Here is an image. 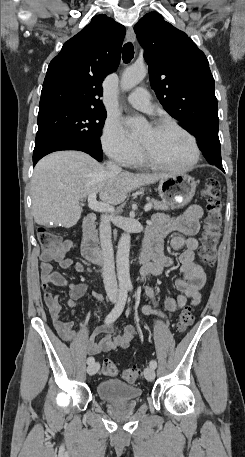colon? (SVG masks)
I'll return each instance as SVG.
<instances>
[{"instance_id": "obj_1", "label": "colon", "mask_w": 245, "mask_h": 457, "mask_svg": "<svg viewBox=\"0 0 245 457\" xmlns=\"http://www.w3.org/2000/svg\"><path fill=\"white\" fill-rule=\"evenodd\" d=\"M203 196L207 201V217L204 225L202 244L199 254L207 265H212L215 260V252L218 245L221 225H222V205L220 200V182L216 178H209L202 190ZM42 253L47 256L55 255L61 247V237L52 230L40 227L37 232ZM194 321L191 307L186 306L180 313L177 321V329L180 332L188 329ZM102 372L108 376L117 374L116 365L109 359H105L102 364ZM141 376L138 367H131L122 371V378L127 382H135Z\"/></svg>"}]
</instances>
